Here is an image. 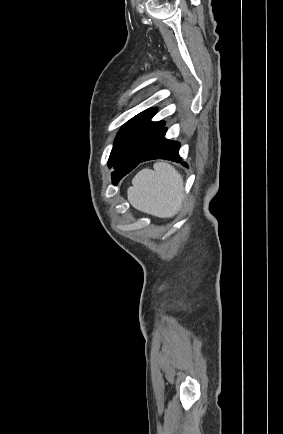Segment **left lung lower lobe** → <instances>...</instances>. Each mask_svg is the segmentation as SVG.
<instances>
[{
  "label": "left lung lower lobe",
  "mask_w": 283,
  "mask_h": 434,
  "mask_svg": "<svg viewBox=\"0 0 283 434\" xmlns=\"http://www.w3.org/2000/svg\"><path fill=\"white\" fill-rule=\"evenodd\" d=\"M167 129L163 128L153 143L150 145L148 150L142 157H139L132 162L120 164L114 166V172H112L111 177L113 182H117L123 176L132 171L138 164L144 161L152 160V159H165L173 162H181L182 158L179 156V148L180 144L176 141H170L164 137ZM182 165L187 166L186 163H182Z\"/></svg>",
  "instance_id": "left-lung-lower-lobe-1"
}]
</instances>
